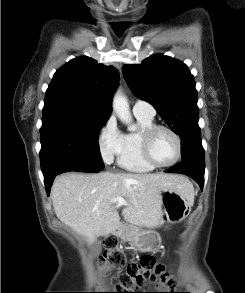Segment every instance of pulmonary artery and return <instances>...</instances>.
Wrapping results in <instances>:
<instances>
[{"instance_id":"1","label":"pulmonary artery","mask_w":245,"mask_h":293,"mask_svg":"<svg viewBox=\"0 0 245 293\" xmlns=\"http://www.w3.org/2000/svg\"><path fill=\"white\" fill-rule=\"evenodd\" d=\"M132 110L134 115H155L154 107L149 102L140 99L134 103Z\"/></svg>"}]
</instances>
